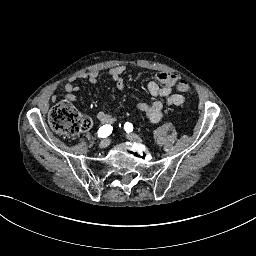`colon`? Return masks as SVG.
<instances>
[{
	"label": "colon",
	"mask_w": 256,
	"mask_h": 256,
	"mask_svg": "<svg viewBox=\"0 0 256 256\" xmlns=\"http://www.w3.org/2000/svg\"><path fill=\"white\" fill-rule=\"evenodd\" d=\"M180 89L185 93H191L192 91L186 81L180 82ZM49 123L54 131L67 137L86 131L92 125L91 119L76 111L69 101H62L53 108L49 115Z\"/></svg>",
	"instance_id": "colon-1"
}]
</instances>
